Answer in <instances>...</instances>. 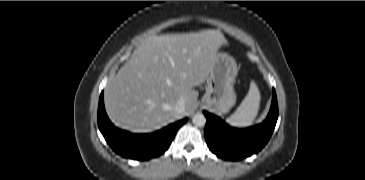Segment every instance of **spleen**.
I'll return each mask as SVG.
<instances>
[{
	"label": "spleen",
	"instance_id": "3e777b00",
	"mask_svg": "<svg viewBox=\"0 0 365 180\" xmlns=\"http://www.w3.org/2000/svg\"><path fill=\"white\" fill-rule=\"evenodd\" d=\"M260 92L254 81L250 84L247 96L237 110L227 118V123L234 127H247L253 124L260 107Z\"/></svg>",
	"mask_w": 365,
	"mask_h": 180
}]
</instances>
